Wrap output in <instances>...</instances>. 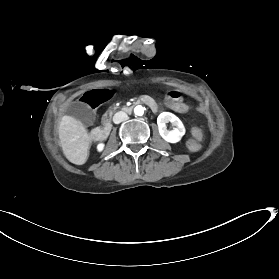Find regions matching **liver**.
<instances>
[{
	"mask_svg": "<svg viewBox=\"0 0 279 279\" xmlns=\"http://www.w3.org/2000/svg\"><path fill=\"white\" fill-rule=\"evenodd\" d=\"M59 139L66 158L82 165L87 160L90 138L83 124L71 116H63L59 125Z\"/></svg>",
	"mask_w": 279,
	"mask_h": 279,
	"instance_id": "obj_1",
	"label": "liver"
}]
</instances>
